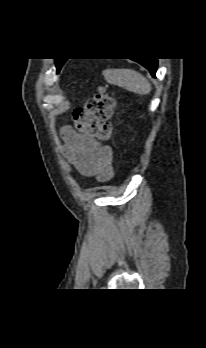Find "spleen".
<instances>
[{
  "label": "spleen",
  "mask_w": 206,
  "mask_h": 348,
  "mask_svg": "<svg viewBox=\"0 0 206 348\" xmlns=\"http://www.w3.org/2000/svg\"><path fill=\"white\" fill-rule=\"evenodd\" d=\"M103 74L108 83L138 95H147L152 89L146 77L132 69H108Z\"/></svg>",
  "instance_id": "obj_1"
}]
</instances>
